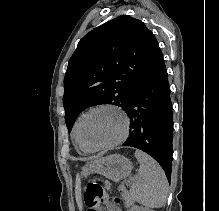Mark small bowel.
<instances>
[{
  "instance_id": "c3829d8e",
  "label": "small bowel",
  "mask_w": 219,
  "mask_h": 211,
  "mask_svg": "<svg viewBox=\"0 0 219 211\" xmlns=\"http://www.w3.org/2000/svg\"><path fill=\"white\" fill-rule=\"evenodd\" d=\"M85 202L89 207L88 211H100L99 205L104 204L106 211H119L114 207L106 194L95 189H88L85 193Z\"/></svg>"
}]
</instances>
